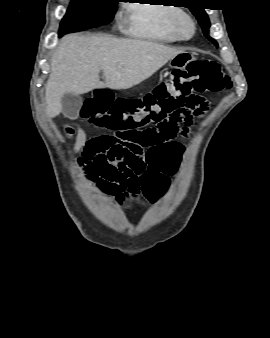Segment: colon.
Returning a JSON list of instances; mask_svg holds the SVG:
<instances>
[{"mask_svg": "<svg viewBox=\"0 0 270 338\" xmlns=\"http://www.w3.org/2000/svg\"><path fill=\"white\" fill-rule=\"evenodd\" d=\"M230 87L229 77L216 61L193 60L186 70H175L169 79L159 82L143 99H114L106 90L96 92L84 100L79 118L110 129L139 149L151 148L147 157L153 162L155 158L179 149L178 142L161 145L178 134L188 136L193 119L207 109L203 94L217 93ZM180 123L183 124L181 129ZM145 159L140 150L136 157L134 150L108 172L104 188L119 204L136 196L140 177H154Z\"/></svg>", "mask_w": 270, "mask_h": 338, "instance_id": "1", "label": "colon"}]
</instances>
